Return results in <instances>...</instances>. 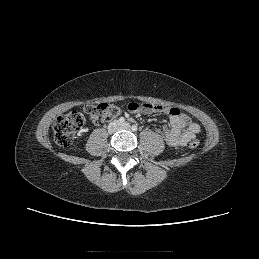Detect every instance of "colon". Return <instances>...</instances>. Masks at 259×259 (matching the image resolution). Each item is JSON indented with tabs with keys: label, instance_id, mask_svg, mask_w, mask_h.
<instances>
[{
	"label": "colon",
	"instance_id": "obj_1",
	"mask_svg": "<svg viewBox=\"0 0 259 259\" xmlns=\"http://www.w3.org/2000/svg\"><path fill=\"white\" fill-rule=\"evenodd\" d=\"M84 112L94 124H101L107 120L117 117L122 110L119 106L100 103L95 105H86ZM85 115L82 111L74 110L67 114L59 116L53 125L55 142L60 146H68L74 139L76 133L83 127ZM199 146L197 139L189 143L190 149H196Z\"/></svg>",
	"mask_w": 259,
	"mask_h": 259
}]
</instances>
